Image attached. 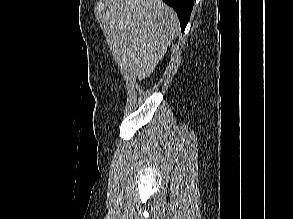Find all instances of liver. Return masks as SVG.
Masks as SVG:
<instances>
[{
  "instance_id": "liver-1",
  "label": "liver",
  "mask_w": 293,
  "mask_h": 219,
  "mask_svg": "<svg viewBox=\"0 0 293 219\" xmlns=\"http://www.w3.org/2000/svg\"><path fill=\"white\" fill-rule=\"evenodd\" d=\"M106 35L115 59L133 78L150 76L179 32L162 0H107Z\"/></svg>"
}]
</instances>
